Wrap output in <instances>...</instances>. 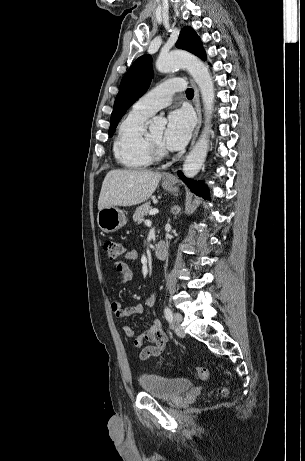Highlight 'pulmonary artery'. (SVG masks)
I'll return each instance as SVG.
<instances>
[{
	"label": "pulmonary artery",
	"mask_w": 305,
	"mask_h": 461,
	"mask_svg": "<svg viewBox=\"0 0 305 461\" xmlns=\"http://www.w3.org/2000/svg\"><path fill=\"white\" fill-rule=\"evenodd\" d=\"M185 88V83L181 78L169 79L155 88L151 89L133 105V110L146 115H152L159 109L168 106L172 95L181 92Z\"/></svg>",
	"instance_id": "e3ab8cb5"
}]
</instances>
